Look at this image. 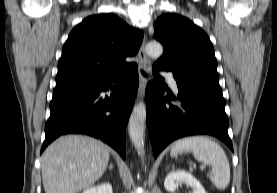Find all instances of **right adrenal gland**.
Returning <instances> with one entry per match:
<instances>
[{"label":"right adrenal gland","instance_id":"2a0ac1e0","mask_svg":"<svg viewBox=\"0 0 277 193\" xmlns=\"http://www.w3.org/2000/svg\"><path fill=\"white\" fill-rule=\"evenodd\" d=\"M110 170H112L113 169V164L112 163H110V165H109V167H108Z\"/></svg>","mask_w":277,"mask_h":193}]
</instances>
